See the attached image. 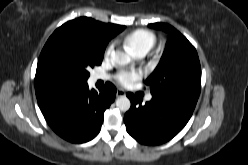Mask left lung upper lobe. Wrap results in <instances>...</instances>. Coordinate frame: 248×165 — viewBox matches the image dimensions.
I'll list each match as a JSON object with an SVG mask.
<instances>
[{"label": "left lung upper lobe", "mask_w": 248, "mask_h": 165, "mask_svg": "<svg viewBox=\"0 0 248 165\" xmlns=\"http://www.w3.org/2000/svg\"><path fill=\"white\" fill-rule=\"evenodd\" d=\"M149 26L171 35L158 66L146 80L152 96L197 102L201 67L195 47L169 24L158 22Z\"/></svg>", "instance_id": "left-lung-upper-lobe-1"}]
</instances>
